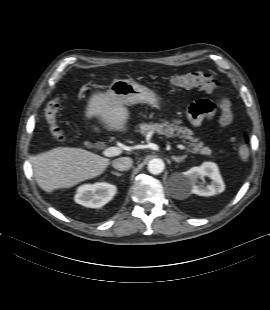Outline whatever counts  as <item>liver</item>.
Returning <instances> with one entry per match:
<instances>
[{"instance_id":"1","label":"liver","mask_w":270,"mask_h":310,"mask_svg":"<svg viewBox=\"0 0 270 310\" xmlns=\"http://www.w3.org/2000/svg\"><path fill=\"white\" fill-rule=\"evenodd\" d=\"M125 103L111 94L98 92L88 100L86 119L97 118L108 131H127L129 110ZM34 177L47 193L70 188L82 181L101 175L110 159L76 147H56L30 157Z\"/></svg>"}]
</instances>
